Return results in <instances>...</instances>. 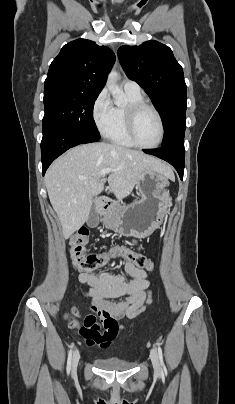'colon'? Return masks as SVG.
<instances>
[{"label":"colon","instance_id":"1","mask_svg":"<svg viewBox=\"0 0 235 404\" xmlns=\"http://www.w3.org/2000/svg\"><path fill=\"white\" fill-rule=\"evenodd\" d=\"M89 235V230L82 228L70 239V257L74 266L78 269L93 272L103 267L111 257H121L126 262L142 269L152 270L154 268V262L151 258L136 253L125 246H115L110 251L103 253H87L86 244L88 243ZM78 314L79 312L76 308L71 309L69 317L71 327L79 326L76 319ZM83 327L90 332H101L106 341L111 340L116 335V332L113 331L114 321L106 315H87Z\"/></svg>","mask_w":235,"mask_h":404}]
</instances>
